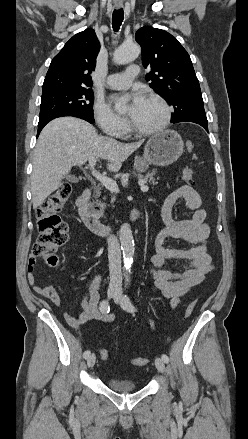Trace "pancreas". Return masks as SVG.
Wrapping results in <instances>:
<instances>
[{"instance_id": "pancreas-1", "label": "pancreas", "mask_w": 248, "mask_h": 439, "mask_svg": "<svg viewBox=\"0 0 248 439\" xmlns=\"http://www.w3.org/2000/svg\"><path fill=\"white\" fill-rule=\"evenodd\" d=\"M155 174H156V170H152L150 173H147L145 176L140 175L139 177L140 179H142L141 181H143L144 183L149 182L150 184L155 185L157 183L154 177ZM100 191H101L100 186L95 188V198L97 199L96 200L97 204H99L102 208H104L106 206V203H104L103 201L106 200V198L103 197L102 199H98L100 196Z\"/></svg>"}]
</instances>
